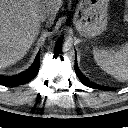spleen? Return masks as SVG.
<instances>
[{
  "instance_id": "1",
  "label": "spleen",
  "mask_w": 128,
  "mask_h": 128,
  "mask_svg": "<svg viewBox=\"0 0 128 128\" xmlns=\"http://www.w3.org/2000/svg\"><path fill=\"white\" fill-rule=\"evenodd\" d=\"M93 56L106 73L120 81H128V43L117 51L94 49Z\"/></svg>"
}]
</instances>
